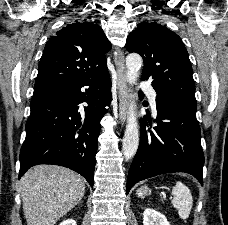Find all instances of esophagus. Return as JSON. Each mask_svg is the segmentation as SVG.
Wrapping results in <instances>:
<instances>
[{"label":"esophagus","instance_id":"34e87169","mask_svg":"<svg viewBox=\"0 0 228 225\" xmlns=\"http://www.w3.org/2000/svg\"><path fill=\"white\" fill-rule=\"evenodd\" d=\"M117 75V90L119 99V120L122 125L126 122V114L128 107V91L126 80V66L124 63V51L118 49L114 57Z\"/></svg>","mask_w":228,"mask_h":225}]
</instances>
